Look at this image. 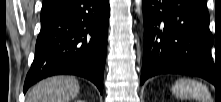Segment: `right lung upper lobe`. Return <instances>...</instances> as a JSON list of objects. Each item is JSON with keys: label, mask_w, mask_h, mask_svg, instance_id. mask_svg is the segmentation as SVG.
Segmentation results:
<instances>
[{"label": "right lung upper lobe", "mask_w": 221, "mask_h": 102, "mask_svg": "<svg viewBox=\"0 0 221 102\" xmlns=\"http://www.w3.org/2000/svg\"><path fill=\"white\" fill-rule=\"evenodd\" d=\"M60 1L62 0H44L43 5H42V12H47L48 10L52 9L55 7Z\"/></svg>", "instance_id": "obj_1"}]
</instances>
